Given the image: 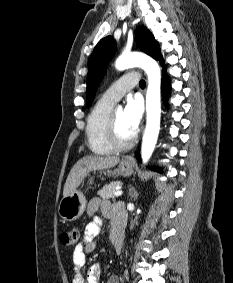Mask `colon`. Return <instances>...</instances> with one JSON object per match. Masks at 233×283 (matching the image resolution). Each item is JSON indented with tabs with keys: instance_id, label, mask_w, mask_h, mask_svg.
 <instances>
[{
	"instance_id": "5ec220e1",
	"label": "colon",
	"mask_w": 233,
	"mask_h": 283,
	"mask_svg": "<svg viewBox=\"0 0 233 283\" xmlns=\"http://www.w3.org/2000/svg\"><path fill=\"white\" fill-rule=\"evenodd\" d=\"M80 231L78 228L74 227L60 235V242L65 247H74L79 239Z\"/></svg>"
}]
</instances>
